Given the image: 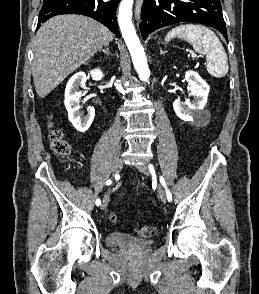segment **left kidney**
<instances>
[{"label": "left kidney", "instance_id": "obj_1", "mask_svg": "<svg viewBox=\"0 0 259 294\" xmlns=\"http://www.w3.org/2000/svg\"><path fill=\"white\" fill-rule=\"evenodd\" d=\"M185 79L195 100L190 102L187 99L185 102H182L180 99H176L173 102V108L180 119L194 122L202 117V110L206 105L210 87L195 71L186 72Z\"/></svg>", "mask_w": 259, "mask_h": 294}]
</instances>
